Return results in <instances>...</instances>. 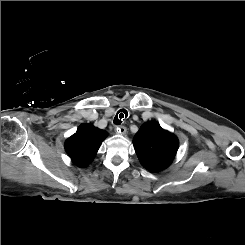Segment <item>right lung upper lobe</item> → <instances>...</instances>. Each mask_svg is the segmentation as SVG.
Segmentation results:
<instances>
[{"mask_svg":"<svg viewBox=\"0 0 245 245\" xmlns=\"http://www.w3.org/2000/svg\"><path fill=\"white\" fill-rule=\"evenodd\" d=\"M107 133L92 124H82L75 134L67 139L65 150L79 167L88 165L95 157Z\"/></svg>","mask_w":245,"mask_h":245,"instance_id":"cb5924a9","label":"right lung upper lobe"}]
</instances>
